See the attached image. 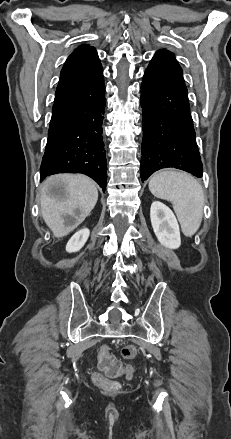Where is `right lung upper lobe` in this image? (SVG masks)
Here are the masks:
<instances>
[{
	"label": "right lung upper lobe",
	"instance_id": "cb5924a9",
	"mask_svg": "<svg viewBox=\"0 0 231 439\" xmlns=\"http://www.w3.org/2000/svg\"><path fill=\"white\" fill-rule=\"evenodd\" d=\"M103 72L94 47L81 45L66 60L60 74L55 98L93 81Z\"/></svg>",
	"mask_w": 231,
	"mask_h": 439
}]
</instances>
